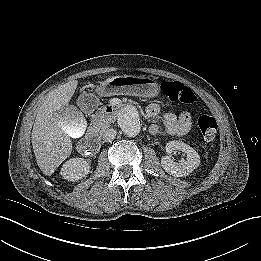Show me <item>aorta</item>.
<instances>
[{"label":"aorta","instance_id":"1","mask_svg":"<svg viewBox=\"0 0 261 261\" xmlns=\"http://www.w3.org/2000/svg\"><path fill=\"white\" fill-rule=\"evenodd\" d=\"M118 124L127 136H137L141 130L138 110L131 105L123 107L118 114Z\"/></svg>","mask_w":261,"mask_h":261}]
</instances>
